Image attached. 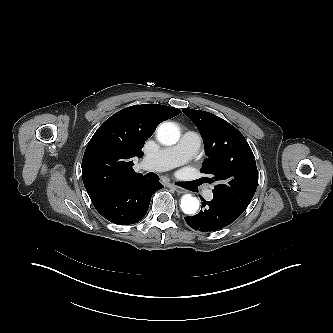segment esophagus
<instances>
[{
  "label": "esophagus",
  "mask_w": 333,
  "mask_h": 333,
  "mask_svg": "<svg viewBox=\"0 0 333 333\" xmlns=\"http://www.w3.org/2000/svg\"><path fill=\"white\" fill-rule=\"evenodd\" d=\"M170 188L174 189L176 192L178 193H186V190H184L183 188L179 187V186H176V185H173V184H169L168 185Z\"/></svg>",
  "instance_id": "esophagus-1"
}]
</instances>
